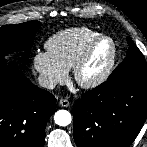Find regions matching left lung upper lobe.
<instances>
[{
    "mask_svg": "<svg viewBox=\"0 0 147 147\" xmlns=\"http://www.w3.org/2000/svg\"><path fill=\"white\" fill-rule=\"evenodd\" d=\"M129 48L125 59L115 68L109 78L124 75L147 77V64L143 54L130 37L127 38Z\"/></svg>",
    "mask_w": 147,
    "mask_h": 147,
    "instance_id": "5c2ea615",
    "label": "left lung upper lobe"
}]
</instances>
